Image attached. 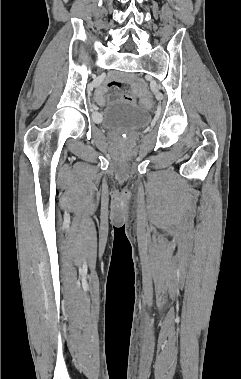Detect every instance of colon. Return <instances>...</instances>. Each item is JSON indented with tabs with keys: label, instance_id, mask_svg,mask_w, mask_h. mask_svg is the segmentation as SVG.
I'll return each mask as SVG.
<instances>
[{
	"label": "colon",
	"instance_id": "5ec220e1",
	"mask_svg": "<svg viewBox=\"0 0 241 379\" xmlns=\"http://www.w3.org/2000/svg\"><path fill=\"white\" fill-rule=\"evenodd\" d=\"M151 96V91L150 90H142L141 91V106L143 109H148L150 106V97Z\"/></svg>",
	"mask_w": 241,
	"mask_h": 379
}]
</instances>
